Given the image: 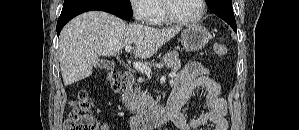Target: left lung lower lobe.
Here are the masks:
<instances>
[{
  "label": "left lung lower lobe",
  "mask_w": 299,
  "mask_h": 130,
  "mask_svg": "<svg viewBox=\"0 0 299 130\" xmlns=\"http://www.w3.org/2000/svg\"><path fill=\"white\" fill-rule=\"evenodd\" d=\"M208 8L226 21L237 33L231 0H213L210 4H208Z\"/></svg>",
  "instance_id": "0a47b994"
}]
</instances>
